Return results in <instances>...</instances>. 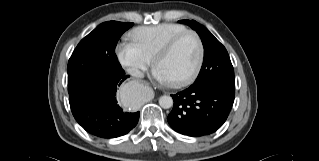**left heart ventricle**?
Returning <instances> with one entry per match:
<instances>
[{
    "instance_id": "obj_1",
    "label": "left heart ventricle",
    "mask_w": 319,
    "mask_h": 161,
    "mask_svg": "<svg viewBox=\"0 0 319 161\" xmlns=\"http://www.w3.org/2000/svg\"><path fill=\"white\" fill-rule=\"evenodd\" d=\"M198 57V46L193 36L181 39L171 53L163 58L157 68L168 81L178 79L192 70Z\"/></svg>"
}]
</instances>
